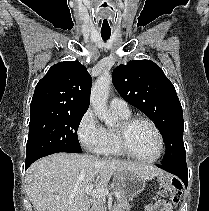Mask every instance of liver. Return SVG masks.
<instances>
[{
    "label": "liver",
    "instance_id": "6515ba94",
    "mask_svg": "<svg viewBox=\"0 0 209 211\" xmlns=\"http://www.w3.org/2000/svg\"><path fill=\"white\" fill-rule=\"evenodd\" d=\"M124 173L151 180L163 174L154 166L121 160H99L87 154L57 153L34 162L26 172V191L36 211H90L85 188H106Z\"/></svg>",
    "mask_w": 209,
    "mask_h": 211
}]
</instances>
